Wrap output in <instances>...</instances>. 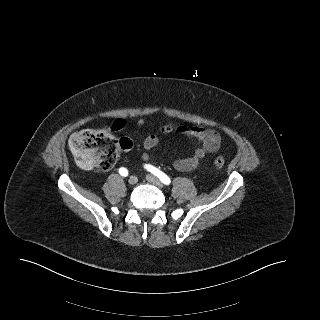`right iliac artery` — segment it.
Returning <instances> with one entry per match:
<instances>
[{"label": "right iliac artery", "instance_id": "1", "mask_svg": "<svg viewBox=\"0 0 320 320\" xmlns=\"http://www.w3.org/2000/svg\"><path fill=\"white\" fill-rule=\"evenodd\" d=\"M119 173L124 177L128 176V174H129L128 170L126 168H124V167L119 169Z\"/></svg>", "mask_w": 320, "mask_h": 320}]
</instances>
